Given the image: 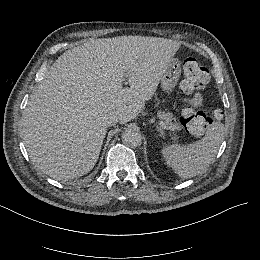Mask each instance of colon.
<instances>
[{"label": "colon", "mask_w": 260, "mask_h": 260, "mask_svg": "<svg viewBox=\"0 0 260 260\" xmlns=\"http://www.w3.org/2000/svg\"><path fill=\"white\" fill-rule=\"evenodd\" d=\"M210 80V73L196 58L189 57L183 64V78L180 84L182 97L181 119L184 127L195 134L201 132L209 123V115L199 105L202 93Z\"/></svg>", "instance_id": "5ec220e1"}]
</instances>
